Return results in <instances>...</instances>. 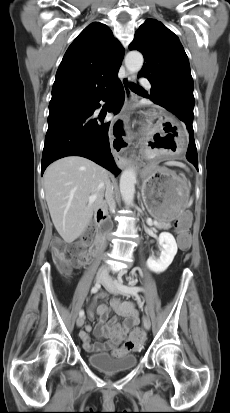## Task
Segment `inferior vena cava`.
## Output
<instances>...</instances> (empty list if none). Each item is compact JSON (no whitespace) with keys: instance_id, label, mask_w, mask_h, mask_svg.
Returning <instances> with one entry per match:
<instances>
[{"instance_id":"1","label":"inferior vena cava","mask_w":230,"mask_h":413,"mask_svg":"<svg viewBox=\"0 0 230 413\" xmlns=\"http://www.w3.org/2000/svg\"><path fill=\"white\" fill-rule=\"evenodd\" d=\"M105 198H106V202L109 206L110 211L113 212L115 210L116 203L113 198V187L110 183V180L106 183ZM108 270L109 269L107 266H102L99 271L103 273H108Z\"/></svg>"}]
</instances>
